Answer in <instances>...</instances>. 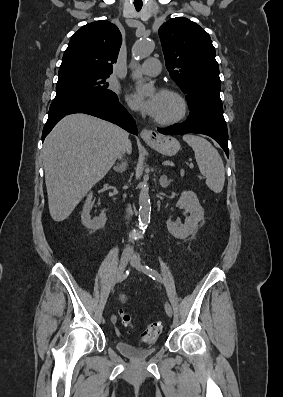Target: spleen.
<instances>
[{
  "label": "spleen",
  "mask_w": 283,
  "mask_h": 397,
  "mask_svg": "<svg viewBox=\"0 0 283 397\" xmlns=\"http://www.w3.org/2000/svg\"><path fill=\"white\" fill-rule=\"evenodd\" d=\"M183 140L193 149L201 174L206 185L214 193H220L224 187L225 169L221 156L212 144L200 136L187 134Z\"/></svg>",
  "instance_id": "obj_1"
}]
</instances>
